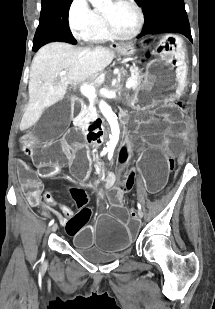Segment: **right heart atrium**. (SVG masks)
Here are the masks:
<instances>
[{"label": "right heart atrium", "mask_w": 215, "mask_h": 309, "mask_svg": "<svg viewBox=\"0 0 215 309\" xmlns=\"http://www.w3.org/2000/svg\"><path fill=\"white\" fill-rule=\"evenodd\" d=\"M69 11V25L75 37L79 39L86 38V32L88 29H93L97 24L98 15L93 14L90 8L86 7V0H73Z\"/></svg>", "instance_id": "right-heart-atrium-1"}]
</instances>
